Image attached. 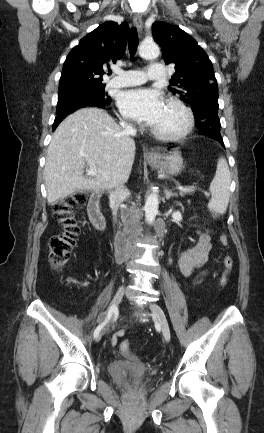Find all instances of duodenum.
<instances>
[{"label": "duodenum", "instance_id": "duodenum-1", "mask_svg": "<svg viewBox=\"0 0 264 433\" xmlns=\"http://www.w3.org/2000/svg\"><path fill=\"white\" fill-rule=\"evenodd\" d=\"M100 193H94L88 203H87V214L93 224V226L98 230L103 232L106 229V218L102 214L99 202H100Z\"/></svg>", "mask_w": 264, "mask_h": 433}]
</instances>
